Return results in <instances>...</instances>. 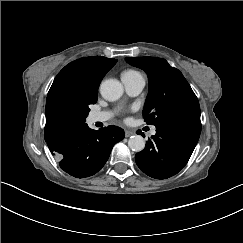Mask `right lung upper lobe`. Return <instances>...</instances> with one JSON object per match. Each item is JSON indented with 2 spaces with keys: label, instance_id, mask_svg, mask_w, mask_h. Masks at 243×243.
<instances>
[{
  "label": "right lung upper lobe",
  "instance_id": "right-lung-upper-lobe-1",
  "mask_svg": "<svg viewBox=\"0 0 243 243\" xmlns=\"http://www.w3.org/2000/svg\"><path fill=\"white\" fill-rule=\"evenodd\" d=\"M117 59L90 56L67 64L55 77L46 100L45 140L64 128L59 115L61 105L79 96L98 95V87Z\"/></svg>",
  "mask_w": 243,
  "mask_h": 243
}]
</instances>
